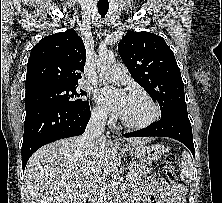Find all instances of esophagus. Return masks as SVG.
<instances>
[{"mask_svg": "<svg viewBox=\"0 0 222 203\" xmlns=\"http://www.w3.org/2000/svg\"><path fill=\"white\" fill-rule=\"evenodd\" d=\"M115 142L120 143V139L117 136L115 137Z\"/></svg>", "mask_w": 222, "mask_h": 203, "instance_id": "1", "label": "esophagus"}]
</instances>
